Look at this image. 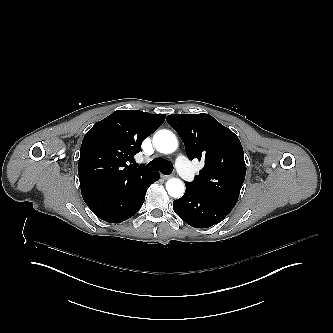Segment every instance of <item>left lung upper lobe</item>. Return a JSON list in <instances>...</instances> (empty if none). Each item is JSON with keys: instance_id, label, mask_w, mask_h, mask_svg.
Here are the masks:
<instances>
[{"instance_id": "left-lung-upper-lobe-1", "label": "left lung upper lobe", "mask_w": 333, "mask_h": 333, "mask_svg": "<svg viewBox=\"0 0 333 333\" xmlns=\"http://www.w3.org/2000/svg\"><path fill=\"white\" fill-rule=\"evenodd\" d=\"M167 122L180 135L190 160H205L193 182H185L204 194L238 200L246 164L239 138L208 114H174Z\"/></svg>"}]
</instances>
